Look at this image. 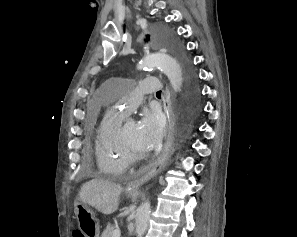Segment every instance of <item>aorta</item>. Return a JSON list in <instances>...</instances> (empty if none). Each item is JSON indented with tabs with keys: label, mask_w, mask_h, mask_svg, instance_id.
<instances>
[{
	"label": "aorta",
	"mask_w": 297,
	"mask_h": 237,
	"mask_svg": "<svg viewBox=\"0 0 297 237\" xmlns=\"http://www.w3.org/2000/svg\"><path fill=\"white\" fill-rule=\"evenodd\" d=\"M159 44H167L172 50H176V41L170 39H158ZM139 69H160L170 80L175 92L180 91L183 84V74L180 63L167 53H154L143 58ZM151 214V204L149 201L143 202L137 209L135 218V234L143 237L148 227Z\"/></svg>",
	"instance_id": "762f6f07"
}]
</instances>
